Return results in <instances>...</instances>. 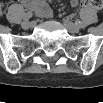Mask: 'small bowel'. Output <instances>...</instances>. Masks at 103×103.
<instances>
[{"mask_svg":"<svg viewBox=\"0 0 103 103\" xmlns=\"http://www.w3.org/2000/svg\"><path fill=\"white\" fill-rule=\"evenodd\" d=\"M22 4L28 9L35 10L39 15L43 17H49L51 15V9L49 5L42 0H22ZM71 4L76 6L78 4V1L72 0Z\"/></svg>","mask_w":103,"mask_h":103,"instance_id":"small-bowel-1","label":"small bowel"}]
</instances>
